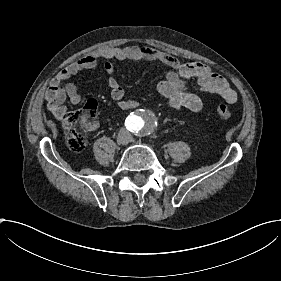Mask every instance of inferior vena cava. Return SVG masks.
Segmentation results:
<instances>
[{"mask_svg":"<svg viewBox=\"0 0 281 281\" xmlns=\"http://www.w3.org/2000/svg\"><path fill=\"white\" fill-rule=\"evenodd\" d=\"M128 137L131 138V135L129 133H127Z\"/></svg>","mask_w":281,"mask_h":281,"instance_id":"obj_1","label":"inferior vena cava"}]
</instances>
